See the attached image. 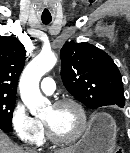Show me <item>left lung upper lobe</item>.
<instances>
[{
    "instance_id": "obj_1",
    "label": "left lung upper lobe",
    "mask_w": 130,
    "mask_h": 153,
    "mask_svg": "<svg viewBox=\"0 0 130 153\" xmlns=\"http://www.w3.org/2000/svg\"><path fill=\"white\" fill-rule=\"evenodd\" d=\"M60 55L63 84L78 101L91 109L124 106L121 74L107 53L94 45L71 41Z\"/></svg>"
}]
</instances>
